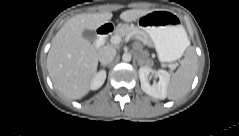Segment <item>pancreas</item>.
<instances>
[{"label": "pancreas", "mask_w": 239, "mask_h": 136, "mask_svg": "<svg viewBox=\"0 0 239 136\" xmlns=\"http://www.w3.org/2000/svg\"><path fill=\"white\" fill-rule=\"evenodd\" d=\"M115 35H118L120 37L130 36V37H138L143 40H145L149 45H151V42L149 38L146 36V34L139 30L137 27H132L126 24L118 26L115 31Z\"/></svg>", "instance_id": "obj_1"}]
</instances>
